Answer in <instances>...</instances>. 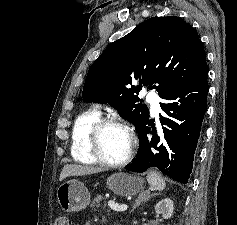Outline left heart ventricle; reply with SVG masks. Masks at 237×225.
<instances>
[{
	"label": "left heart ventricle",
	"mask_w": 237,
	"mask_h": 225,
	"mask_svg": "<svg viewBox=\"0 0 237 225\" xmlns=\"http://www.w3.org/2000/svg\"><path fill=\"white\" fill-rule=\"evenodd\" d=\"M100 145L104 157L117 162L126 156L130 147V138L123 128L108 126L101 133Z\"/></svg>",
	"instance_id": "1"
}]
</instances>
